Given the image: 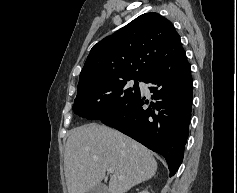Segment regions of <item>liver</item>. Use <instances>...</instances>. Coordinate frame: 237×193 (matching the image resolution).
<instances>
[{"instance_id": "6515ba94", "label": "liver", "mask_w": 237, "mask_h": 193, "mask_svg": "<svg viewBox=\"0 0 237 193\" xmlns=\"http://www.w3.org/2000/svg\"><path fill=\"white\" fill-rule=\"evenodd\" d=\"M65 177L68 193H86L114 172L108 193H126L157 171L153 154L130 137L104 125L89 123L73 129L67 139Z\"/></svg>"}]
</instances>
